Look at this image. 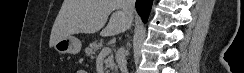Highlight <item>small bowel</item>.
<instances>
[{
    "instance_id": "1",
    "label": "small bowel",
    "mask_w": 244,
    "mask_h": 73,
    "mask_svg": "<svg viewBox=\"0 0 244 73\" xmlns=\"http://www.w3.org/2000/svg\"><path fill=\"white\" fill-rule=\"evenodd\" d=\"M79 73H84V71L83 70H80Z\"/></svg>"
}]
</instances>
